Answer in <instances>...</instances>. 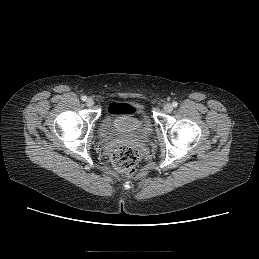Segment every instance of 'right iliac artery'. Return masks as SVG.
Instances as JSON below:
<instances>
[{
  "label": "right iliac artery",
  "instance_id": "82829eb1",
  "mask_svg": "<svg viewBox=\"0 0 259 259\" xmlns=\"http://www.w3.org/2000/svg\"><path fill=\"white\" fill-rule=\"evenodd\" d=\"M81 100H82V101H86V100H87V97H86V96H82V97H81Z\"/></svg>",
  "mask_w": 259,
  "mask_h": 259
}]
</instances>
